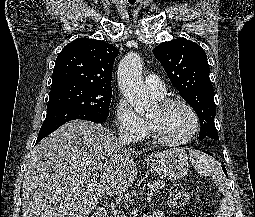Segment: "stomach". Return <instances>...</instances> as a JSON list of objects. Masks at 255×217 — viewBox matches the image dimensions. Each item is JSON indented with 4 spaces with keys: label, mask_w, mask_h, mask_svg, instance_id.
<instances>
[{
    "label": "stomach",
    "mask_w": 255,
    "mask_h": 217,
    "mask_svg": "<svg viewBox=\"0 0 255 217\" xmlns=\"http://www.w3.org/2000/svg\"><path fill=\"white\" fill-rule=\"evenodd\" d=\"M147 164L162 178L179 180L188 171V157L181 148H171L151 155L146 159Z\"/></svg>",
    "instance_id": "obj_1"
}]
</instances>
